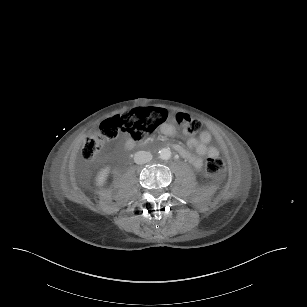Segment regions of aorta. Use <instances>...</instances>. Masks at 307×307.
Masks as SVG:
<instances>
[{
  "mask_svg": "<svg viewBox=\"0 0 307 307\" xmlns=\"http://www.w3.org/2000/svg\"><path fill=\"white\" fill-rule=\"evenodd\" d=\"M159 156L161 159L163 160H169L172 156V152L169 148H162L160 151H159Z\"/></svg>",
  "mask_w": 307,
  "mask_h": 307,
  "instance_id": "1",
  "label": "aorta"
}]
</instances>
